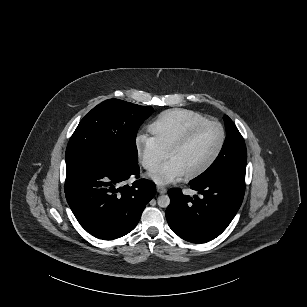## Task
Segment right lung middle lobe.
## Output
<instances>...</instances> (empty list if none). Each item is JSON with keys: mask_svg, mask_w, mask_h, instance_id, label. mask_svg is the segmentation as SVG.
I'll return each mask as SVG.
<instances>
[{"mask_svg": "<svg viewBox=\"0 0 307 307\" xmlns=\"http://www.w3.org/2000/svg\"><path fill=\"white\" fill-rule=\"evenodd\" d=\"M153 113L140 106L110 99L93 108L80 121L66 149V164L83 158H105L128 168H138L136 135Z\"/></svg>", "mask_w": 307, "mask_h": 307, "instance_id": "1", "label": "right lung middle lobe"}]
</instances>
